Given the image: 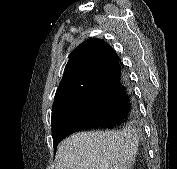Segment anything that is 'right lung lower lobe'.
Returning <instances> with one entry per match:
<instances>
[{
	"label": "right lung lower lobe",
	"instance_id": "98d812e1",
	"mask_svg": "<svg viewBox=\"0 0 177 169\" xmlns=\"http://www.w3.org/2000/svg\"><path fill=\"white\" fill-rule=\"evenodd\" d=\"M90 98L76 115L59 122L53 132V146L69 134L84 129L114 128L133 121L137 117V106L126 71L118 57L114 58L89 81Z\"/></svg>",
	"mask_w": 177,
	"mask_h": 169
}]
</instances>
